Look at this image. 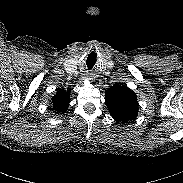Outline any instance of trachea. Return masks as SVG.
<instances>
[{
    "label": "trachea",
    "instance_id": "trachea-1",
    "mask_svg": "<svg viewBox=\"0 0 183 183\" xmlns=\"http://www.w3.org/2000/svg\"><path fill=\"white\" fill-rule=\"evenodd\" d=\"M86 63H87V67H88L89 69H92L93 66H94L95 63H96V55H93L92 53L89 54V56H88V58H87V60H86Z\"/></svg>",
    "mask_w": 183,
    "mask_h": 183
}]
</instances>
